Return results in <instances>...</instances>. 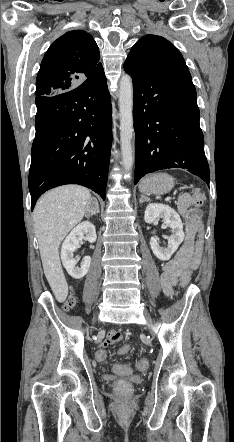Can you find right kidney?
I'll use <instances>...</instances> for the list:
<instances>
[{
	"label": "right kidney",
	"instance_id": "1",
	"mask_svg": "<svg viewBox=\"0 0 234 442\" xmlns=\"http://www.w3.org/2000/svg\"><path fill=\"white\" fill-rule=\"evenodd\" d=\"M82 239H86L90 243H94L97 239L95 226L89 221H84L73 228L62 243L61 260L68 274L74 279L83 278L87 274L91 263V258L86 256L83 258L80 267L77 266V260L73 253L80 247L79 242Z\"/></svg>",
	"mask_w": 234,
	"mask_h": 442
}]
</instances>
